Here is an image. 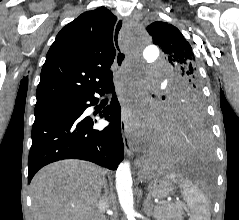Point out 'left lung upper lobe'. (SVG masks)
I'll return each mask as SVG.
<instances>
[{"mask_svg":"<svg viewBox=\"0 0 239 220\" xmlns=\"http://www.w3.org/2000/svg\"><path fill=\"white\" fill-rule=\"evenodd\" d=\"M153 43L161 47L177 69V77L169 87V110L185 112L193 108L204 111L201 82L190 44L180 31L167 22L157 21L147 27Z\"/></svg>","mask_w":239,"mask_h":220,"instance_id":"obj_1","label":"left lung upper lobe"}]
</instances>
